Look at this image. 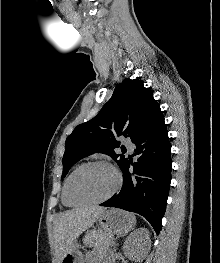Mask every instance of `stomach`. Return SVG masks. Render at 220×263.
I'll return each mask as SVG.
<instances>
[{
	"label": "stomach",
	"mask_w": 220,
	"mask_h": 263,
	"mask_svg": "<svg viewBox=\"0 0 220 263\" xmlns=\"http://www.w3.org/2000/svg\"><path fill=\"white\" fill-rule=\"evenodd\" d=\"M102 231L108 237V243L105 249L109 246L110 238L116 235L127 234L135 225V216L131 213L120 209L105 210L97 219ZM61 263H84V257L80 251V244L74 243L73 247L64 256Z\"/></svg>",
	"instance_id": "stomach-1"
}]
</instances>
